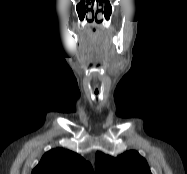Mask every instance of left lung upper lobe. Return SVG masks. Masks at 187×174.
Instances as JSON below:
<instances>
[{
	"instance_id": "5c2ea615",
	"label": "left lung upper lobe",
	"mask_w": 187,
	"mask_h": 174,
	"mask_svg": "<svg viewBox=\"0 0 187 174\" xmlns=\"http://www.w3.org/2000/svg\"><path fill=\"white\" fill-rule=\"evenodd\" d=\"M96 174H151L146 160L136 151H127L114 158L96 153Z\"/></svg>"
}]
</instances>
